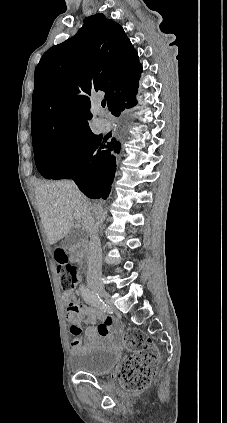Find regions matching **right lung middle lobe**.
Returning <instances> with one entry per match:
<instances>
[{
  "instance_id": "obj_1",
  "label": "right lung middle lobe",
  "mask_w": 227,
  "mask_h": 423,
  "mask_svg": "<svg viewBox=\"0 0 227 423\" xmlns=\"http://www.w3.org/2000/svg\"><path fill=\"white\" fill-rule=\"evenodd\" d=\"M95 135H55L33 141L35 163L46 179H66L76 171Z\"/></svg>"
}]
</instances>
